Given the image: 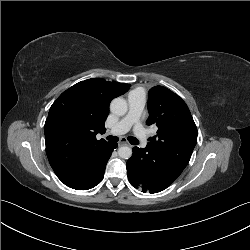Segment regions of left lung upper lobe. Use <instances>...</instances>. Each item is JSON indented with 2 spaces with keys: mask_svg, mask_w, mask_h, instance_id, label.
Masks as SVG:
<instances>
[{
  "mask_svg": "<svg viewBox=\"0 0 250 250\" xmlns=\"http://www.w3.org/2000/svg\"><path fill=\"white\" fill-rule=\"evenodd\" d=\"M148 97L147 124L158 127L157 135L148 139V145L157 150L172 147L177 158L186 157L189 161L198 132L188 106L163 86L150 89Z\"/></svg>",
  "mask_w": 250,
  "mask_h": 250,
  "instance_id": "left-lung-upper-lobe-1",
  "label": "left lung upper lobe"
}]
</instances>
